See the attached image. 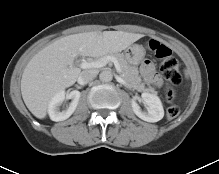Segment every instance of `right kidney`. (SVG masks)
<instances>
[{
	"label": "right kidney",
	"instance_id": "right-kidney-1",
	"mask_svg": "<svg viewBox=\"0 0 219 174\" xmlns=\"http://www.w3.org/2000/svg\"><path fill=\"white\" fill-rule=\"evenodd\" d=\"M80 96L81 93L77 90H73L67 95H65L63 90L56 93L48 105V114L50 119L56 122L68 119L76 110ZM65 99H72V101L66 109L61 111L60 106Z\"/></svg>",
	"mask_w": 219,
	"mask_h": 174
}]
</instances>
